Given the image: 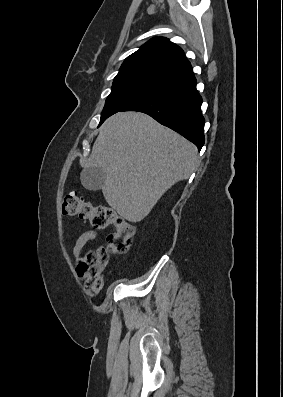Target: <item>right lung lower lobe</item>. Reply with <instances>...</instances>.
<instances>
[{
    "mask_svg": "<svg viewBox=\"0 0 283 397\" xmlns=\"http://www.w3.org/2000/svg\"><path fill=\"white\" fill-rule=\"evenodd\" d=\"M202 102L193 74L142 97L121 111L146 113L180 133L201 150L205 141Z\"/></svg>",
    "mask_w": 283,
    "mask_h": 397,
    "instance_id": "right-lung-lower-lobe-1",
    "label": "right lung lower lobe"
}]
</instances>
